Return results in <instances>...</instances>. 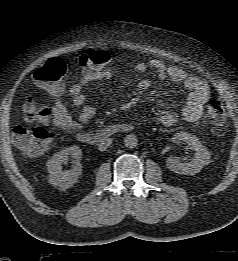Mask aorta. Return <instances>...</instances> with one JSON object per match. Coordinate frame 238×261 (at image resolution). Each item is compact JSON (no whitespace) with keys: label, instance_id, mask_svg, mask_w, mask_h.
<instances>
[{"label":"aorta","instance_id":"1","mask_svg":"<svg viewBox=\"0 0 238 261\" xmlns=\"http://www.w3.org/2000/svg\"><path fill=\"white\" fill-rule=\"evenodd\" d=\"M138 139L134 134H129L124 138V145L129 149H133L137 146Z\"/></svg>","mask_w":238,"mask_h":261}]
</instances>
